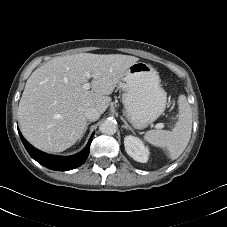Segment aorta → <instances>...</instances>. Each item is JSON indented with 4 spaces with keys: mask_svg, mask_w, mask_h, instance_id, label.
Here are the masks:
<instances>
[{
    "mask_svg": "<svg viewBox=\"0 0 227 227\" xmlns=\"http://www.w3.org/2000/svg\"><path fill=\"white\" fill-rule=\"evenodd\" d=\"M100 132L108 135H113L116 133L117 125L113 120H105L99 126Z\"/></svg>",
    "mask_w": 227,
    "mask_h": 227,
    "instance_id": "aorta-1",
    "label": "aorta"
}]
</instances>
